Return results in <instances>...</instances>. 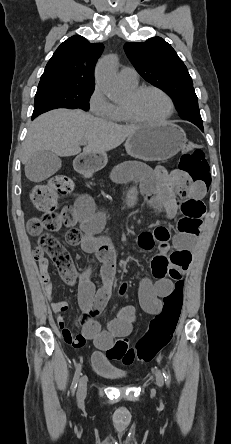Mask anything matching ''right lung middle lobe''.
<instances>
[{"label":"right lung middle lobe","instance_id":"right-lung-middle-lobe-1","mask_svg":"<svg viewBox=\"0 0 231 444\" xmlns=\"http://www.w3.org/2000/svg\"><path fill=\"white\" fill-rule=\"evenodd\" d=\"M94 87L48 86L38 88L32 119L56 108L88 110V99Z\"/></svg>","mask_w":231,"mask_h":444}]
</instances>
